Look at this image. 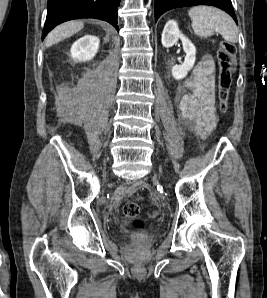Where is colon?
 <instances>
[{
  "label": "colon",
  "instance_id": "colon-1",
  "mask_svg": "<svg viewBox=\"0 0 267 298\" xmlns=\"http://www.w3.org/2000/svg\"><path fill=\"white\" fill-rule=\"evenodd\" d=\"M236 62V46L230 42H221L218 47V63H219V79H218V95L220 109L225 112L228 108V100L232 85V77ZM123 213L127 218L133 220L134 226L141 228L142 220L139 218L140 206L136 202H127L123 206ZM156 213H153L155 216Z\"/></svg>",
  "mask_w": 267,
  "mask_h": 298
}]
</instances>
